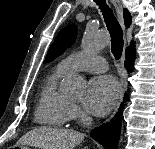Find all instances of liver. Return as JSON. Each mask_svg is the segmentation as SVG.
<instances>
[{"label": "liver", "mask_w": 155, "mask_h": 149, "mask_svg": "<svg viewBox=\"0 0 155 149\" xmlns=\"http://www.w3.org/2000/svg\"><path fill=\"white\" fill-rule=\"evenodd\" d=\"M84 139V134L61 128L38 127L23 135L16 145L35 146L39 149H74Z\"/></svg>", "instance_id": "6515ba94"}]
</instances>
